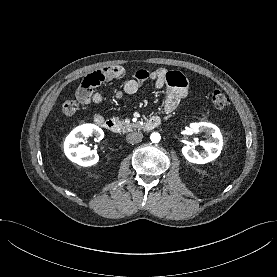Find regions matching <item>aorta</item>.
Returning a JSON list of instances; mask_svg holds the SVG:
<instances>
[{
  "mask_svg": "<svg viewBox=\"0 0 277 277\" xmlns=\"http://www.w3.org/2000/svg\"><path fill=\"white\" fill-rule=\"evenodd\" d=\"M150 139H151V141H152L153 143H158V142L160 141V139H161V136H160L159 133L153 132V133L151 134V136H150Z\"/></svg>",
  "mask_w": 277,
  "mask_h": 277,
  "instance_id": "1",
  "label": "aorta"
}]
</instances>
